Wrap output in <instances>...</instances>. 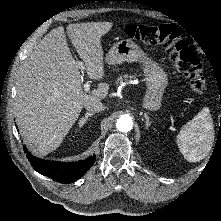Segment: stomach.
<instances>
[{"label":"stomach","instance_id":"stomach-1","mask_svg":"<svg viewBox=\"0 0 221 221\" xmlns=\"http://www.w3.org/2000/svg\"><path fill=\"white\" fill-rule=\"evenodd\" d=\"M105 60L109 65L142 62L147 88L143 98V107L150 111L160 109L163 93L168 85L167 74L158 63L148 58L136 43L131 39L115 43L107 53Z\"/></svg>","mask_w":221,"mask_h":221}]
</instances>
